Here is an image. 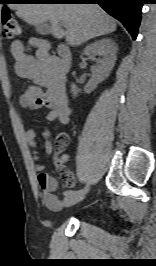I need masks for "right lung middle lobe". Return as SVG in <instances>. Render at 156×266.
I'll list each match as a JSON object with an SVG mask.
<instances>
[{
    "mask_svg": "<svg viewBox=\"0 0 156 266\" xmlns=\"http://www.w3.org/2000/svg\"><path fill=\"white\" fill-rule=\"evenodd\" d=\"M22 2H26V1H28V0H21ZM0 2H2V1H0Z\"/></svg>",
    "mask_w": 156,
    "mask_h": 266,
    "instance_id": "right-lung-middle-lobe-1",
    "label": "right lung middle lobe"
}]
</instances>
